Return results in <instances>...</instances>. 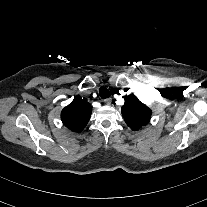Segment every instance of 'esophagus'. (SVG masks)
<instances>
[{
  "mask_svg": "<svg viewBox=\"0 0 207 207\" xmlns=\"http://www.w3.org/2000/svg\"><path fill=\"white\" fill-rule=\"evenodd\" d=\"M104 102L109 105V104H111L112 99L111 98H105Z\"/></svg>",
  "mask_w": 207,
  "mask_h": 207,
  "instance_id": "obj_1",
  "label": "esophagus"
}]
</instances>
